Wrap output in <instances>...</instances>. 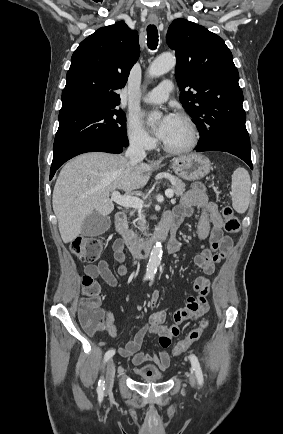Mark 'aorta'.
Returning a JSON list of instances; mask_svg holds the SVG:
<instances>
[{
    "mask_svg": "<svg viewBox=\"0 0 283 434\" xmlns=\"http://www.w3.org/2000/svg\"><path fill=\"white\" fill-rule=\"evenodd\" d=\"M176 65V58L172 54H163L159 57H157L149 66L148 73L151 77H159L165 73H167L169 70H171ZM161 117V114L156 112L153 113L150 118L149 122L150 125H153L154 122ZM161 257H162V245L160 242H157L150 253L149 261L147 264L146 274L147 276L153 277L156 272L157 268L161 263Z\"/></svg>",
    "mask_w": 283,
    "mask_h": 434,
    "instance_id": "1",
    "label": "aorta"
}]
</instances>
